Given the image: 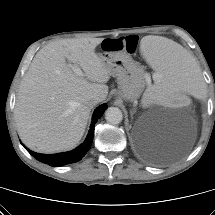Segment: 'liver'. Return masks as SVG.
I'll list each match as a JSON object with an SVG mask.
<instances>
[{
	"label": "liver",
	"mask_w": 215,
	"mask_h": 215,
	"mask_svg": "<svg viewBox=\"0 0 215 215\" xmlns=\"http://www.w3.org/2000/svg\"><path fill=\"white\" fill-rule=\"evenodd\" d=\"M103 38L61 39L35 55L20 83L14 119L22 142L39 153L74 148L81 140L93 96L108 95L110 71L95 53ZM66 59L84 71L77 75Z\"/></svg>",
	"instance_id": "6515ba94"
}]
</instances>
